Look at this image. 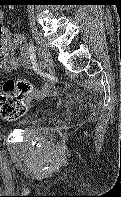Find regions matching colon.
Here are the masks:
<instances>
[{
	"label": "colon",
	"instance_id": "5ec220e1",
	"mask_svg": "<svg viewBox=\"0 0 121 197\" xmlns=\"http://www.w3.org/2000/svg\"><path fill=\"white\" fill-rule=\"evenodd\" d=\"M34 87L26 80H8L0 91V115L14 121L25 115L27 102L33 96Z\"/></svg>",
	"mask_w": 121,
	"mask_h": 197
}]
</instances>
